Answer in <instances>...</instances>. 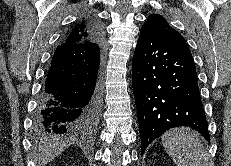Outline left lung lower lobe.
Segmentation results:
<instances>
[{
  "label": "left lung lower lobe",
  "mask_w": 231,
  "mask_h": 166,
  "mask_svg": "<svg viewBox=\"0 0 231 166\" xmlns=\"http://www.w3.org/2000/svg\"><path fill=\"white\" fill-rule=\"evenodd\" d=\"M132 85L141 154L153 140L177 126H189L210 140L188 46L164 41L141 28L133 55Z\"/></svg>",
  "instance_id": "obj_1"
}]
</instances>
